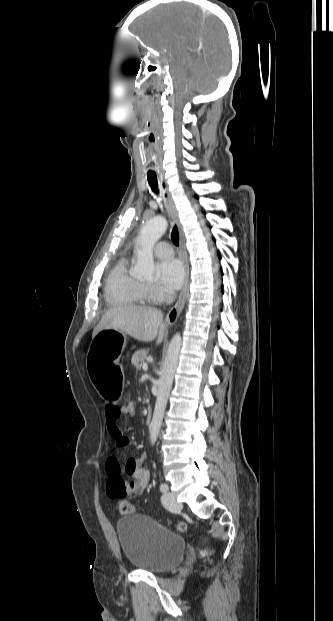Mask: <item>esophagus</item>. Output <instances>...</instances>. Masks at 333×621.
<instances>
[{"label": "esophagus", "instance_id": "1", "mask_svg": "<svg viewBox=\"0 0 333 621\" xmlns=\"http://www.w3.org/2000/svg\"><path fill=\"white\" fill-rule=\"evenodd\" d=\"M158 181H159L161 196H162V200L164 202L165 208L168 211L169 215L174 220V222L176 223L178 230H179L180 252H181V256L184 261V264H185V286L179 296L177 303L169 310L168 316H167L168 324L172 325L178 319L185 305L188 282H189V262H188L186 244H185V235H184L182 224L179 219L178 210L176 209L173 198L168 190V186L162 175H159Z\"/></svg>", "mask_w": 333, "mask_h": 621}]
</instances>
